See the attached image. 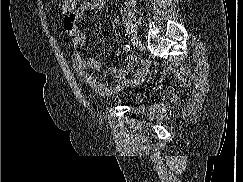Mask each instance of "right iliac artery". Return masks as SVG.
I'll return each instance as SVG.
<instances>
[{
    "label": "right iliac artery",
    "mask_w": 243,
    "mask_h": 182,
    "mask_svg": "<svg viewBox=\"0 0 243 182\" xmlns=\"http://www.w3.org/2000/svg\"><path fill=\"white\" fill-rule=\"evenodd\" d=\"M125 51H126V52L130 51V45H126V46H125Z\"/></svg>",
    "instance_id": "1"
}]
</instances>
